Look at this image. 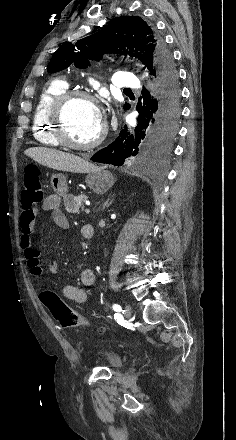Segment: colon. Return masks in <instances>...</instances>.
Listing matches in <instances>:
<instances>
[{"label": "colon", "instance_id": "obj_1", "mask_svg": "<svg viewBox=\"0 0 236 440\" xmlns=\"http://www.w3.org/2000/svg\"><path fill=\"white\" fill-rule=\"evenodd\" d=\"M23 190L21 193V206L30 210L40 204L44 199L43 184L38 169L35 166L27 167L23 174ZM43 301L53 318L66 328H80L88 325V320L78 313L71 311L62 299L51 290L41 292Z\"/></svg>", "mask_w": 236, "mask_h": 440}]
</instances>
